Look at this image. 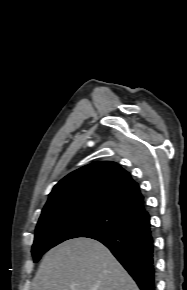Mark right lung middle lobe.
Listing matches in <instances>:
<instances>
[{
  "mask_svg": "<svg viewBox=\"0 0 187 290\" xmlns=\"http://www.w3.org/2000/svg\"><path fill=\"white\" fill-rule=\"evenodd\" d=\"M130 223L117 212L101 206H80L41 216L32 247L34 262L50 248L72 238L119 228Z\"/></svg>",
  "mask_w": 187,
  "mask_h": 290,
  "instance_id": "dd1d6c3e",
  "label": "right lung middle lobe"
}]
</instances>
